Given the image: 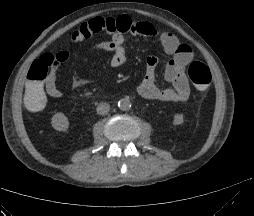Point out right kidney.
<instances>
[{
	"instance_id": "right-kidney-1",
	"label": "right kidney",
	"mask_w": 254,
	"mask_h": 216,
	"mask_svg": "<svg viewBox=\"0 0 254 216\" xmlns=\"http://www.w3.org/2000/svg\"><path fill=\"white\" fill-rule=\"evenodd\" d=\"M52 127L57 131H67L69 128L68 118L62 113H56L51 119Z\"/></svg>"
}]
</instances>
